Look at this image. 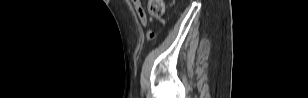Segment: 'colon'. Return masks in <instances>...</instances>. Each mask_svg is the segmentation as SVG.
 Here are the masks:
<instances>
[{"label": "colon", "instance_id": "1", "mask_svg": "<svg viewBox=\"0 0 308 98\" xmlns=\"http://www.w3.org/2000/svg\"><path fill=\"white\" fill-rule=\"evenodd\" d=\"M148 11L150 15L154 18H160L165 11V3L163 0H149ZM148 36L150 38L154 37L153 32H149Z\"/></svg>", "mask_w": 308, "mask_h": 98}]
</instances>
